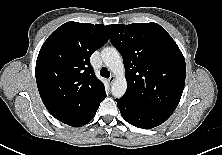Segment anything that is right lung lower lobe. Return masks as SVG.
<instances>
[{"mask_svg":"<svg viewBox=\"0 0 222 155\" xmlns=\"http://www.w3.org/2000/svg\"><path fill=\"white\" fill-rule=\"evenodd\" d=\"M98 107H99V105H97L95 108H93L90 112H88L84 116H81L77 119L65 120V124H68V125L74 126V127H80V126L87 124L95 116Z\"/></svg>","mask_w":222,"mask_h":155,"instance_id":"obj_1","label":"right lung lower lobe"}]
</instances>
